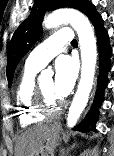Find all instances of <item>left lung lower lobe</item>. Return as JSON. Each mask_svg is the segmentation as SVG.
Masks as SVG:
<instances>
[{
  "label": "left lung lower lobe",
  "instance_id": "1",
  "mask_svg": "<svg viewBox=\"0 0 114 156\" xmlns=\"http://www.w3.org/2000/svg\"><path fill=\"white\" fill-rule=\"evenodd\" d=\"M86 15L93 23L97 34L100 72L94 103L84 120L74 128L81 132H87L88 130L96 131L94 122L97 120L99 107L103 102L104 90L108 84L107 73L111 69L110 57L112 54V49L109 44V36L104 29L103 20L93 5L90 7Z\"/></svg>",
  "mask_w": 114,
  "mask_h": 156
}]
</instances>
